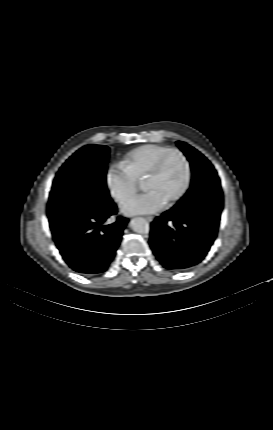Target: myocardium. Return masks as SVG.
Wrapping results in <instances>:
<instances>
[{
  "instance_id": "f54148a6",
  "label": "myocardium",
  "mask_w": 273,
  "mask_h": 430,
  "mask_svg": "<svg viewBox=\"0 0 273 430\" xmlns=\"http://www.w3.org/2000/svg\"><path fill=\"white\" fill-rule=\"evenodd\" d=\"M172 155H177L178 157L181 158V160L183 161L184 166H185L186 175H185V181H184L181 189L178 191V193L174 197H172L166 203L167 207H171L174 204H176L178 201H180L190 187V183H191V179H192V170H191L190 162H189L188 158L186 157V155L181 150H179L177 148L169 149L158 159V161L156 162V164L154 165L152 170L148 173V175L145 178V181H147L149 179H153V178L158 177L162 173L167 160Z\"/></svg>"
}]
</instances>
